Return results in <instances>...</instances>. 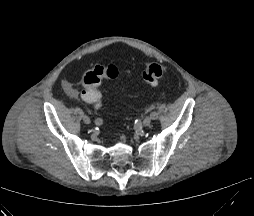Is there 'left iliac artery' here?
Segmentation results:
<instances>
[{
    "label": "left iliac artery",
    "instance_id": "left-iliac-artery-1",
    "mask_svg": "<svg viewBox=\"0 0 254 216\" xmlns=\"http://www.w3.org/2000/svg\"><path fill=\"white\" fill-rule=\"evenodd\" d=\"M150 117L152 120H156L158 118V113L156 111H152L150 113Z\"/></svg>",
    "mask_w": 254,
    "mask_h": 216
}]
</instances>
